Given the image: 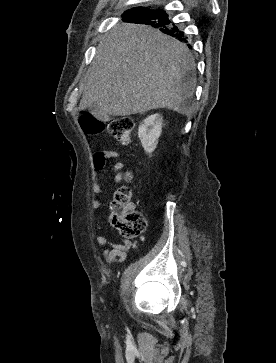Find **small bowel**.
Wrapping results in <instances>:
<instances>
[{
  "label": "small bowel",
  "instance_id": "obj_1",
  "mask_svg": "<svg viewBox=\"0 0 276 363\" xmlns=\"http://www.w3.org/2000/svg\"><path fill=\"white\" fill-rule=\"evenodd\" d=\"M121 154L117 151L113 150H103L94 154L93 156V169H94V183L92 186V207L97 209L101 206V200L98 198L104 191L103 187V175L102 172L106 166V161L108 159H119ZM125 168V164L123 162H116L112 165V170L118 172L114 178V182H120L123 180L124 176L120 171ZM98 228H101V220L97 219L96 221ZM96 241L99 245L104 247L102 255L104 259L108 262H123L126 258V250L130 248V242L127 240H123L119 243L110 242L105 236L99 235L96 238Z\"/></svg>",
  "mask_w": 276,
  "mask_h": 363
}]
</instances>
